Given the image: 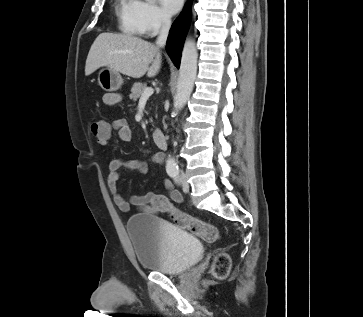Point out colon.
<instances>
[{
	"label": "colon",
	"mask_w": 363,
	"mask_h": 317,
	"mask_svg": "<svg viewBox=\"0 0 363 317\" xmlns=\"http://www.w3.org/2000/svg\"><path fill=\"white\" fill-rule=\"evenodd\" d=\"M90 131L94 136L103 134L105 131V122L101 120L92 121L90 123ZM168 212L178 226L196 234L204 241L213 242L219 238L218 230L214 225L184 214L173 206H168ZM229 271L230 259L228 255L225 253L217 254L211 267L212 276L222 279L228 275Z\"/></svg>",
	"instance_id": "5ec220e1"
}]
</instances>
